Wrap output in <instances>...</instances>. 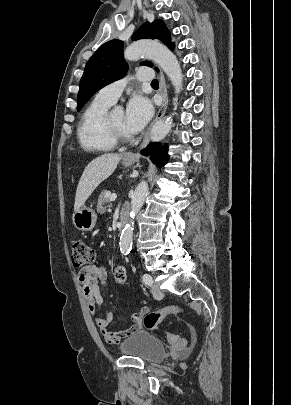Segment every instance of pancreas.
I'll return each mask as SVG.
<instances>
[{
    "label": "pancreas",
    "instance_id": "pancreas-1",
    "mask_svg": "<svg viewBox=\"0 0 291 405\" xmlns=\"http://www.w3.org/2000/svg\"><path fill=\"white\" fill-rule=\"evenodd\" d=\"M107 194L108 191H103L98 198L97 211L100 214H103L105 212L107 208V206L105 205L110 202V196H108Z\"/></svg>",
    "mask_w": 291,
    "mask_h": 405
}]
</instances>
